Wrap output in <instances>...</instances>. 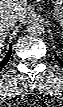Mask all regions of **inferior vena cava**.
Masks as SVG:
<instances>
[{
  "mask_svg": "<svg viewBox=\"0 0 63 107\" xmlns=\"http://www.w3.org/2000/svg\"><path fill=\"white\" fill-rule=\"evenodd\" d=\"M17 22V17L13 14H1L0 15V29L2 31H8L12 29Z\"/></svg>",
  "mask_w": 63,
  "mask_h": 107,
  "instance_id": "obj_1",
  "label": "inferior vena cava"
}]
</instances>
